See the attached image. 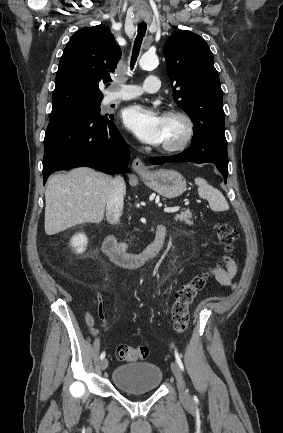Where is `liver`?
<instances>
[{"label": "liver", "mask_w": 283, "mask_h": 433, "mask_svg": "<svg viewBox=\"0 0 283 433\" xmlns=\"http://www.w3.org/2000/svg\"><path fill=\"white\" fill-rule=\"evenodd\" d=\"M112 182V176L87 166L50 176L45 190L46 235H55L82 223H101ZM123 194H126L125 188Z\"/></svg>", "instance_id": "liver-1"}]
</instances>
